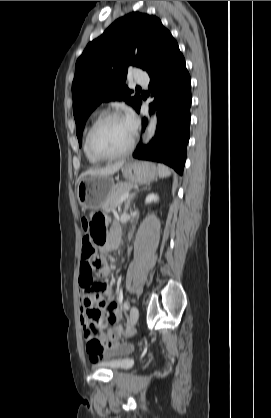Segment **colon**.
Wrapping results in <instances>:
<instances>
[{"instance_id":"5ec220e1","label":"colon","mask_w":271,"mask_h":418,"mask_svg":"<svg viewBox=\"0 0 271 418\" xmlns=\"http://www.w3.org/2000/svg\"><path fill=\"white\" fill-rule=\"evenodd\" d=\"M83 227L87 233L89 242L95 243V251L97 248L104 246L106 242V224L104 216L95 215L91 219H83ZM87 270L89 272V264ZM88 315L94 322L92 328L89 330V334L93 336L92 341L89 343V347L98 350L101 348V345L97 340V336L101 330L99 315L97 312H89Z\"/></svg>"}]
</instances>
